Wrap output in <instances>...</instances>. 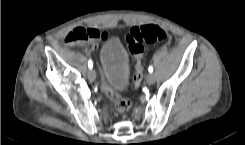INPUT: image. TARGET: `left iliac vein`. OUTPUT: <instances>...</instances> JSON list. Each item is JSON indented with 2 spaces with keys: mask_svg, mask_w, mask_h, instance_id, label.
<instances>
[{
  "mask_svg": "<svg viewBox=\"0 0 245 145\" xmlns=\"http://www.w3.org/2000/svg\"><path fill=\"white\" fill-rule=\"evenodd\" d=\"M146 81H147V83L150 84V85L153 84V83L155 82V75L152 74V73H150V74L147 76Z\"/></svg>",
  "mask_w": 245,
  "mask_h": 145,
  "instance_id": "4c4485c4",
  "label": "left iliac vein"
}]
</instances>
